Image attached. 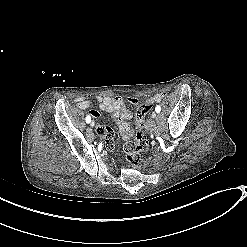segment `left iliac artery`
<instances>
[{"instance_id": "left-iliac-artery-1", "label": "left iliac artery", "mask_w": 247, "mask_h": 247, "mask_svg": "<svg viewBox=\"0 0 247 247\" xmlns=\"http://www.w3.org/2000/svg\"><path fill=\"white\" fill-rule=\"evenodd\" d=\"M155 111L159 113L161 111V107L159 105L156 106Z\"/></svg>"}]
</instances>
